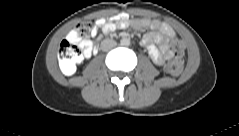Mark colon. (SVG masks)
Masks as SVG:
<instances>
[{
  "instance_id": "colon-1",
  "label": "colon",
  "mask_w": 239,
  "mask_h": 136,
  "mask_svg": "<svg viewBox=\"0 0 239 136\" xmlns=\"http://www.w3.org/2000/svg\"><path fill=\"white\" fill-rule=\"evenodd\" d=\"M96 30V21L88 19L79 22L75 27V33L79 39L85 40L93 35ZM172 48L175 56L165 66V72L173 77L179 76L183 70L184 43L180 39L172 41ZM81 60V49L79 45L69 38L62 41L58 49V63L62 71L72 74Z\"/></svg>"
}]
</instances>
